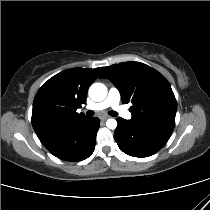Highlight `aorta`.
Here are the masks:
<instances>
[{"instance_id":"762f6f07","label":"aorta","mask_w":210,"mask_h":210,"mask_svg":"<svg viewBox=\"0 0 210 210\" xmlns=\"http://www.w3.org/2000/svg\"><path fill=\"white\" fill-rule=\"evenodd\" d=\"M107 96V87L102 83H94L89 88V97L95 101H103ZM106 126L109 129H116L117 121L115 119H108L106 121Z\"/></svg>"}]
</instances>
